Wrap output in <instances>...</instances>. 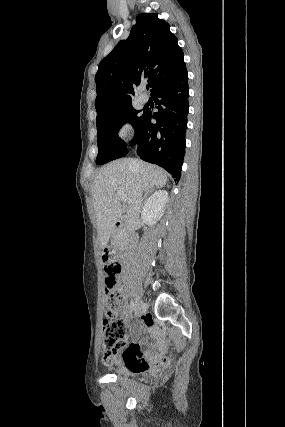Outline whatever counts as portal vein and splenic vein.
Segmentation results:
<instances>
[{
    "mask_svg": "<svg viewBox=\"0 0 285 427\" xmlns=\"http://www.w3.org/2000/svg\"><path fill=\"white\" fill-rule=\"evenodd\" d=\"M118 199L123 203L126 202V198H125L124 194H122V193H118Z\"/></svg>",
    "mask_w": 285,
    "mask_h": 427,
    "instance_id": "obj_1",
    "label": "portal vein and splenic vein"
}]
</instances>
